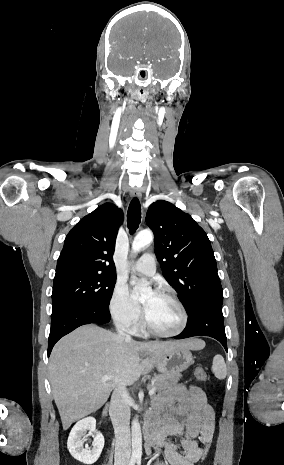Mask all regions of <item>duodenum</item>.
<instances>
[{"label": "duodenum", "instance_id": "duodenum-1", "mask_svg": "<svg viewBox=\"0 0 284 465\" xmlns=\"http://www.w3.org/2000/svg\"><path fill=\"white\" fill-rule=\"evenodd\" d=\"M107 414H108V410H107V409H104V410H103V413H102L103 417H106ZM144 436H145L147 439H149V437H150L149 433L145 430V428H144Z\"/></svg>", "mask_w": 284, "mask_h": 465}]
</instances>
